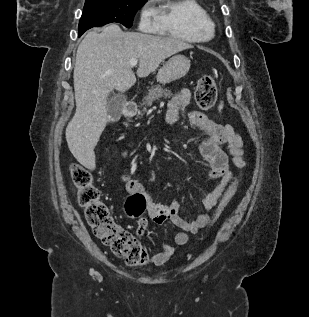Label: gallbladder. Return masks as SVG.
<instances>
[{
  "instance_id": "bac80fb5",
  "label": "gallbladder",
  "mask_w": 309,
  "mask_h": 317,
  "mask_svg": "<svg viewBox=\"0 0 309 317\" xmlns=\"http://www.w3.org/2000/svg\"><path fill=\"white\" fill-rule=\"evenodd\" d=\"M126 97L122 94L110 96L107 102V115L111 122H117L121 115L122 109L126 103Z\"/></svg>"
}]
</instances>
